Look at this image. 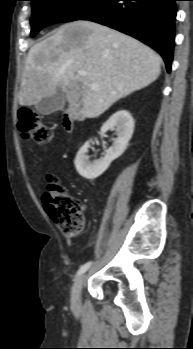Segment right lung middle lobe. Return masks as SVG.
<instances>
[{
	"mask_svg": "<svg viewBox=\"0 0 193 349\" xmlns=\"http://www.w3.org/2000/svg\"><path fill=\"white\" fill-rule=\"evenodd\" d=\"M31 36L42 28L59 23L79 20L101 0H31Z\"/></svg>",
	"mask_w": 193,
	"mask_h": 349,
	"instance_id": "dd1d6c3e",
	"label": "right lung middle lobe"
}]
</instances>
